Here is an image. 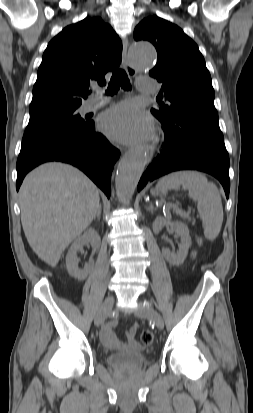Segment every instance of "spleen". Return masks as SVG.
I'll use <instances>...</instances> for the list:
<instances>
[{"instance_id": "obj_1", "label": "spleen", "mask_w": 253, "mask_h": 413, "mask_svg": "<svg viewBox=\"0 0 253 413\" xmlns=\"http://www.w3.org/2000/svg\"><path fill=\"white\" fill-rule=\"evenodd\" d=\"M181 187L197 202L205 238L214 240L219 235L223 222V207L218 188L213 182H208L204 174L191 170L168 174L157 184V188L165 190H179Z\"/></svg>"}]
</instances>
